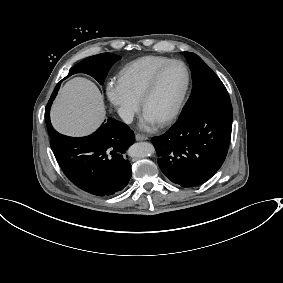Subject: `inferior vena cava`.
<instances>
[{"instance_id": "obj_1", "label": "inferior vena cava", "mask_w": 283, "mask_h": 283, "mask_svg": "<svg viewBox=\"0 0 283 283\" xmlns=\"http://www.w3.org/2000/svg\"><path fill=\"white\" fill-rule=\"evenodd\" d=\"M117 113L125 124H130L133 121L134 112L129 107L123 106L118 108Z\"/></svg>"}]
</instances>
